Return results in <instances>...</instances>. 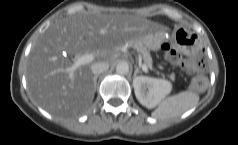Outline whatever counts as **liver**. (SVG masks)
<instances>
[{"mask_svg": "<svg viewBox=\"0 0 238 145\" xmlns=\"http://www.w3.org/2000/svg\"><path fill=\"white\" fill-rule=\"evenodd\" d=\"M164 29L143 17L98 11H78L55 20L34 44L28 57L26 80L34 100L51 115L70 117L85 113L94 99L93 63L74 70L67 56L92 54L110 62L119 46ZM66 53V56H64Z\"/></svg>", "mask_w": 238, "mask_h": 145, "instance_id": "6515ba94", "label": "liver"}]
</instances>
